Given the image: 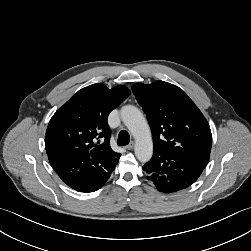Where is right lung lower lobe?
Returning <instances> with one entry per match:
<instances>
[{
	"label": "right lung lower lobe",
	"mask_w": 251,
	"mask_h": 251,
	"mask_svg": "<svg viewBox=\"0 0 251 251\" xmlns=\"http://www.w3.org/2000/svg\"><path fill=\"white\" fill-rule=\"evenodd\" d=\"M48 158L59 177L80 192L98 190L114 170L106 171L97 160L80 158L69 150L56 152Z\"/></svg>",
	"instance_id": "obj_1"
}]
</instances>
